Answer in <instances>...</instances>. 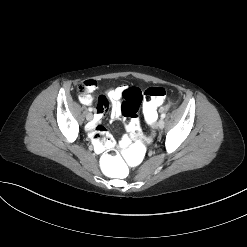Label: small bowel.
<instances>
[{"mask_svg":"<svg viewBox=\"0 0 247 247\" xmlns=\"http://www.w3.org/2000/svg\"><path fill=\"white\" fill-rule=\"evenodd\" d=\"M90 84V91L87 95L80 96V101L84 105H90L93 102V97L90 94L97 87V83L94 80L87 81ZM125 91L124 86H117L109 89L106 92V96H102L96 107V114L94 122L90 129V136L93 142L94 150L97 153H102L105 150H110L114 147V139L105 131L103 127L99 125L100 120L110 108L113 118H117L121 114L120 100L123 92ZM130 138L128 136L122 137L119 142L120 147L130 144Z\"/></svg>","mask_w":247,"mask_h":247,"instance_id":"small-bowel-1","label":"small bowel"}]
</instances>
